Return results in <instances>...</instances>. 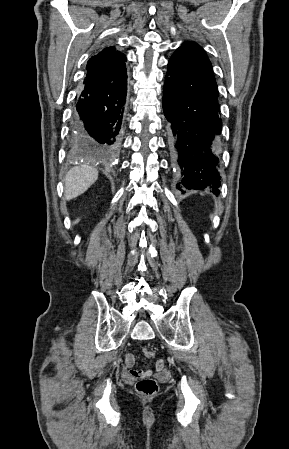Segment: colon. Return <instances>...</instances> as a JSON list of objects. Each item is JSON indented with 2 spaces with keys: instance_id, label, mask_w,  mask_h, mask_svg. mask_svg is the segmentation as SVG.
<instances>
[{
  "instance_id": "obj_1",
  "label": "colon",
  "mask_w": 289,
  "mask_h": 449,
  "mask_svg": "<svg viewBox=\"0 0 289 449\" xmlns=\"http://www.w3.org/2000/svg\"><path fill=\"white\" fill-rule=\"evenodd\" d=\"M143 353L148 358L154 356V351L148 348H145ZM135 388L138 393L145 396H151L157 392L158 384L155 379L150 377V375H140L137 378Z\"/></svg>"
}]
</instances>
